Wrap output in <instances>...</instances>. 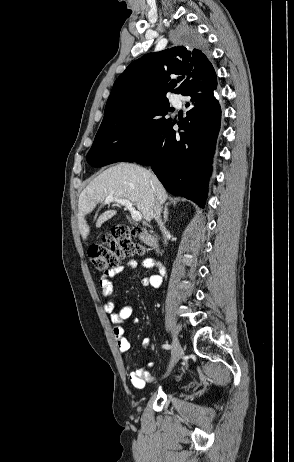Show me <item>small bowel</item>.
Listing matches in <instances>:
<instances>
[{"label": "small bowel", "mask_w": 294, "mask_h": 462, "mask_svg": "<svg viewBox=\"0 0 294 462\" xmlns=\"http://www.w3.org/2000/svg\"><path fill=\"white\" fill-rule=\"evenodd\" d=\"M138 266L136 260H130L126 264V268L134 269ZM141 266L144 268H153L158 267L160 269V274H154L151 276L144 277L141 281L143 286H151L154 288H158L162 284L163 275L165 273L164 269L161 267L159 263L154 261L151 258H146L141 262ZM125 269L124 266H117L114 269L106 271L103 276L100 278V287L102 291L103 297L107 300L104 302V309L109 314L110 320L113 323V334L118 346V349L122 353H126L130 349V342L125 337V330L122 326L123 323L129 322L132 324H136L137 320L132 318V307L131 306H124L118 311L115 310V303L112 299L113 291H114V284L112 279L123 272ZM142 347L145 350L150 348V340L144 339L142 342ZM154 366L153 362H149L144 366H140L138 363H134L131 366H128L127 369L129 371V379L132 385L135 388L141 389L147 383L152 382L154 377L151 374V369Z\"/></svg>", "instance_id": "small-bowel-1"}]
</instances>
